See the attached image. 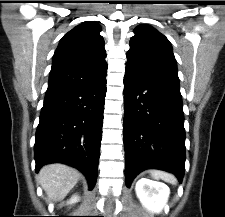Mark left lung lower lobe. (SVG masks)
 Returning a JSON list of instances; mask_svg holds the SVG:
<instances>
[{
  "label": "left lung lower lobe",
  "instance_id": "obj_1",
  "mask_svg": "<svg viewBox=\"0 0 225 217\" xmlns=\"http://www.w3.org/2000/svg\"><path fill=\"white\" fill-rule=\"evenodd\" d=\"M126 184L145 169H161L182 182L185 129L179 85L126 70L124 77Z\"/></svg>",
  "mask_w": 225,
  "mask_h": 217
}]
</instances>
